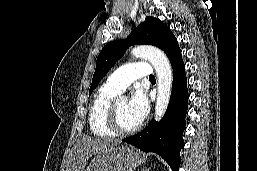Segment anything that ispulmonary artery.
<instances>
[{"instance_id": "e3ab8cb5", "label": "pulmonary artery", "mask_w": 257, "mask_h": 171, "mask_svg": "<svg viewBox=\"0 0 257 171\" xmlns=\"http://www.w3.org/2000/svg\"><path fill=\"white\" fill-rule=\"evenodd\" d=\"M150 75H152V68L149 63L131 62L115 70L108 77L105 84L121 93L135 80L141 77H149Z\"/></svg>"}]
</instances>
